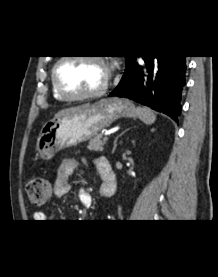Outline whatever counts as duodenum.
<instances>
[{"label":"duodenum","mask_w":218,"mask_h":277,"mask_svg":"<svg viewBox=\"0 0 218 277\" xmlns=\"http://www.w3.org/2000/svg\"><path fill=\"white\" fill-rule=\"evenodd\" d=\"M98 167L101 170V177H102V184L100 189L102 193H105L107 183L111 180H114V177L111 172L110 162L105 158H99ZM115 190H116V184H115ZM115 190H114V193H115ZM112 195H104V196L109 197Z\"/></svg>","instance_id":"duodenum-1"}]
</instances>
